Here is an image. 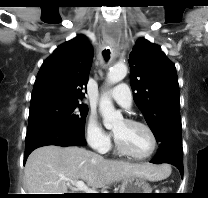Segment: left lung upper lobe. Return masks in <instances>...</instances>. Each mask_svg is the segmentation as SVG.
I'll return each mask as SVG.
<instances>
[{
	"instance_id": "obj_1",
	"label": "left lung upper lobe",
	"mask_w": 208,
	"mask_h": 198,
	"mask_svg": "<svg viewBox=\"0 0 208 198\" xmlns=\"http://www.w3.org/2000/svg\"><path fill=\"white\" fill-rule=\"evenodd\" d=\"M133 98L156 140L182 151L179 85L175 65L161 47L141 38L129 56Z\"/></svg>"
}]
</instances>
